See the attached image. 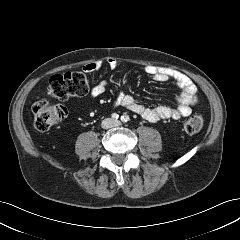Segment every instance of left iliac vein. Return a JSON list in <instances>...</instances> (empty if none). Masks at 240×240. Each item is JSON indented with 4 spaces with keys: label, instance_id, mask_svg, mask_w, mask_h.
<instances>
[{
    "label": "left iliac vein",
    "instance_id": "4c4485c4",
    "mask_svg": "<svg viewBox=\"0 0 240 240\" xmlns=\"http://www.w3.org/2000/svg\"><path fill=\"white\" fill-rule=\"evenodd\" d=\"M114 124H115L116 126H118V125H120V121H115Z\"/></svg>",
    "mask_w": 240,
    "mask_h": 240
}]
</instances>
